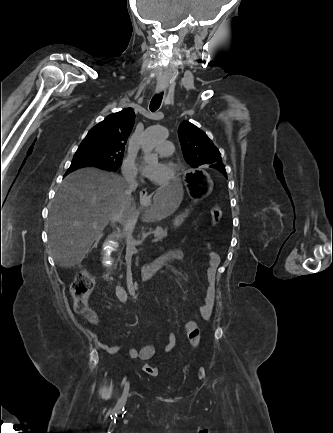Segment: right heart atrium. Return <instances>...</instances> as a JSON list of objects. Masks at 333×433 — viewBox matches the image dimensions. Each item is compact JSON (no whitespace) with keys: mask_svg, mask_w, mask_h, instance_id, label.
Wrapping results in <instances>:
<instances>
[{"mask_svg":"<svg viewBox=\"0 0 333 433\" xmlns=\"http://www.w3.org/2000/svg\"><path fill=\"white\" fill-rule=\"evenodd\" d=\"M122 171L126 178L135 179L138 176V166L135 159L126 157L123 162Z\"/></svg>","mask_w":333,"mask_h":433,"instance_id":"obj_1","label":"right heart atrium"}]
</instances>
